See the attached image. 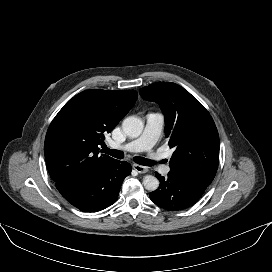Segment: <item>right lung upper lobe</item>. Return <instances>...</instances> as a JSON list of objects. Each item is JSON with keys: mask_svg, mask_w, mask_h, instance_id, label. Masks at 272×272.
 <instances>
[{"mask_svg": "<svg viewBox=\"0 0 272 272\" xmlns=\"http://www.w3.org/2000/svg\"><path fill=\"white\" fill-rule=\"evenodd\" d=\"M134 90H86L70 99L51 122L44 143L54 182L87 176L113 158L99 153L111 132L137 100Z\"/></svg>", "mask_w": 272, "mask_h": 272, "instance_id": "right-lung-upper-lobe-1", "label": "right lung upper lobe"}]
</instances>
